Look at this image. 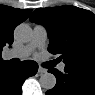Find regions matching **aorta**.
<instances>
[{
    "label": "aorta",
    "instance_id": "aorta-1",
    "mask_svg": "<svg viewBox=\"0 0 95 95\" xmlns=\"http://www.w3.org/2000/svg\"><path fill=\"white\" fill-rule=\"evenodd\" d=\"M14 36L21 42H28L33 36V30L28 24L21 23L15 28ZM39 82L42 88L50 90L56 85V77L52 73H44L41 75Z\"/></svg>",
    "mask_w": 95,
    "mask_h": 95
}]
</instances>
